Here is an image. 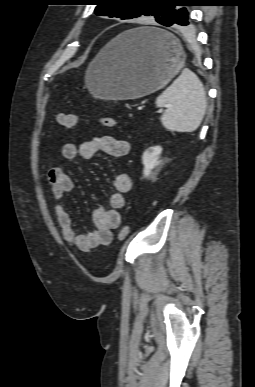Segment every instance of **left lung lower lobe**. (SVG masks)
<instances>
[{
	"instance_id": "left-lung-lower-lobe-1",
	"label": "left lung lower lobe",
	"mask_w": 255,
	"mask_h": 387,
	"mask_svg": "<svg viewBox=\"0 0 255 387\" xmlns=\"http://www.w3.org/2000/svg\"><path fill=\"white\" fill-rule=\"evenodd\" d=\"M177 6H191V4L181 3ZM164 26L170 27H178V25L186 26L189 25V13L185 8L176 9V13L172 19H170L167 23L163 24ZM143 38L150 40L159 39V34L153 31L144 32L141 34Z\"/></svg>"
}]
</instances>
